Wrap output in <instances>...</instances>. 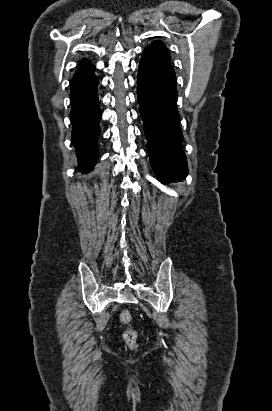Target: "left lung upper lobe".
<instances>
[{
    "label": "left lung upper lobe",
    "instance_id": "obj_1",
    "mask_svg": "<svg viewBox=\"0 0 272 411\" xmlns=\"http://www.w3.org/2000/svg\"><path fill=\"white\" fill-rule=\"evenodd\" d=\"M147 48L152 49L157 54H159L161 57L166 59L168 62H171V58L168 53V50L162 41H159V40L153 41L151 45L147 46Z\"/></svg>",
    "mask_w": 272,
    "mask_h": 411
}]
</instances>
